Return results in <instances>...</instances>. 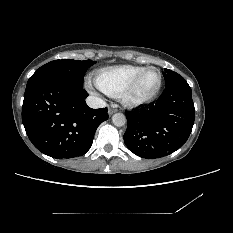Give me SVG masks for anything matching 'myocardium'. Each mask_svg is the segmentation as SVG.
<instances>
[{
	"label": "myocardium",
	"instance_id": "obj_1",
	"mask_svg": "<svg viewBox=\"0 0 233 233\" xmlns=\"http://www.w3.org/2000/svg\"><path fill=\"white\" fill-rule=\"evenodd\" d=\"M149 70H156L158 72V75H159L158 85H157L155 91L152 94L148 95L147 97L135 98L133 95L134 91H135L138 83L140 82L141 78ZM161 86H162V74H161L160 70L154 66H149V67L144 68L141 72H139L137 75H135L132 78V80L123 89V91L120 95V99H121L122 103L127 107H131V108L139 107V106H142V105H145V104L151 102L160 92Z\"/></svg>",
	"mask_w": 233,
	"mask_h": 233
}]
</instances>
